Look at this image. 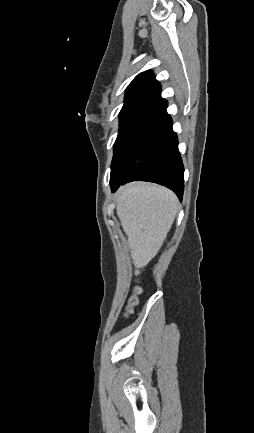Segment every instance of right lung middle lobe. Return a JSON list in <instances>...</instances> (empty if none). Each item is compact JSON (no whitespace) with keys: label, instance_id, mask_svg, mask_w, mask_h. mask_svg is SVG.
<instances>
[{"label":"right lung middle lobe","instance_id":"obj_1","mask_svg":"<svg viewBox=\"0 0 254 433\" xmlns=\"http://www.w3.org/2000/svg\"><path fill=\"white\" fill-rule=\"evenodd\" d=\"M141 107V105L138 104H127L124 105L123 108L121 109L120 113H119V117H120V129H119V133L117 136V139L115 141L114 144V151L117 148L119 141L121 139L123 130L125 128V125L127 124V122L129 121V119L132 117V115Z\"/></svg>","mask_w":254,"mask_h":433}]
</instances>
